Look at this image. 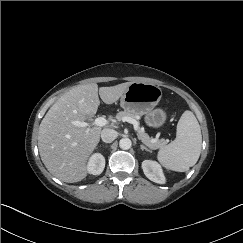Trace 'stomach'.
Here are the masks:
<instances>
[{"instance_id":"obj_1","label":"stomach","mask_w":243,"mask_h":243,"mask_svg":"<svg viewBox=\"0 0 243 243\" xmlns=\"http://www.w3.org/2000/svg\"><path fill=\"white\" fill-rule=\"evenodd\" d=\"M162 97L159 86L145 82H131L120 98L121 107L130 113L144 116L146 125L152 128L162 127L167 119L166 112L155 108Z\"/></svg>"}]
</instances>
